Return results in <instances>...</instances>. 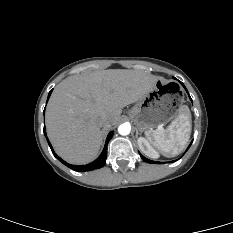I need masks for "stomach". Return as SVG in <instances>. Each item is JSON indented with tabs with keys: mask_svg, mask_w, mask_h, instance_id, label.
Instances as JSON below:
<instances>
[{
	"mask_svg": "<svg viewBox=\"0 0 233 233\" xmlns=\"http://www.w3.org/2000/svg\"><path fill=\"white\" fill-rule=\"evenodd\" d=\"M184 93L173 82L158 79L154 87L130 110L137 128L146 132L164 126L182 110Z\"/></svg>",
	"mask_w": 233,
	"mask_h": 233,
	"instance_id": "obj_1",
	"label": "stomach"
}]
</instances>
